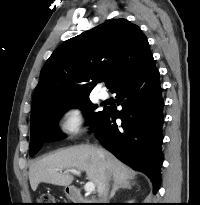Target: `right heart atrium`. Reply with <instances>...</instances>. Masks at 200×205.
<instances>
[{
    "label": "right heart atrium",
    "mask_w": 200,
    "mask_h": 205,
    "mask_svg": "<svg viewBox=\"0 0 200 205\" xmlns=\"http://www.w3.org/2000/svg\"><path fill=\"white\" fill-rule=\"evenodd\" d=\"M87 117L80 105L71 104L64 108L59 118V131L65 136H75L86 126Z\"/></svg>",
    "instance_id": "obj_1"
}]
</instances>
